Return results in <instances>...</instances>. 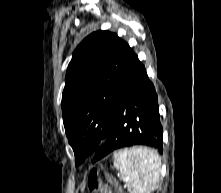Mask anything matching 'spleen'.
Wrapping results in <instances>:
<instances>
[{
    "mask_svg": "<svg viewBox=\"0 0 221 193\" xmlns=\"http://www.w3.org/2000/svg\"><path fill=\"white\" fill-rule=\"evenodd\" d=\"M114 168L129 193H151L160 177L161 160L156 151L142 146H123L114 153Z\"/></svg>",
    "mask_w": 221,
    "mask_h": 193,
    "instance_id": "1",
    "label": "spleen"
}]
</instances>
